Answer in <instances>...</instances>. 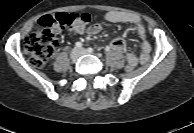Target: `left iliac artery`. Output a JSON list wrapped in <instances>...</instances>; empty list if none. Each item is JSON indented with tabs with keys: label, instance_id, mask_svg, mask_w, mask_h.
<instances>
[{
	"label": "left iliac artery",
	"instance_id": "44dca946",
	"mask_svg": "<svg viewBox=\"0 0 194 133\" xmlns=\"http://www.w3.org/2000/svg\"><path fill=\"white\" fill-rule=\"evenodd\" d=\"M88 51H89L90 53H92L94 50H93V48H88Z\"/></svg>",
	"mask_w": 194,
	"mask_h": 133
}]
</instances>
